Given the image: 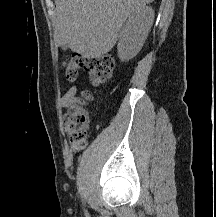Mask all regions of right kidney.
<instances>
[{"label":"right kidney","mask_w":216,"mask_h":217,"mask_svg":"<svg viewBox=\"0 0 216 217\" xmlns=\"http://www.w3.org/2000/svg\"><path fill=\"white\" fill-rule=\"evenodd\" d=\"M154 19V10L144 6L128 18L119 35L118 56L121 61L133 58L142 48Z\"/></svg>","instance_id":"1"}]
</instances>
